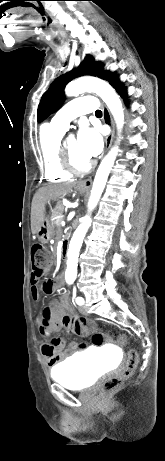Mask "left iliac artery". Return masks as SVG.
<instances>
[{"mask_svg":"<svg viewBox=\"0 0 165 461\" xmlns=\"http://www.w3.org/2000/svg\"><path fill=\"white\" fill-rule=\"evenodd\" d=\"M76 303H77L78 305H83V304H84V299H83L82 297H77V298H76Z\"/></svg>","mask_w":165,"mask_h":461,"instance_id":"obj_1","label":"left iliac artery"}]
</instances>
